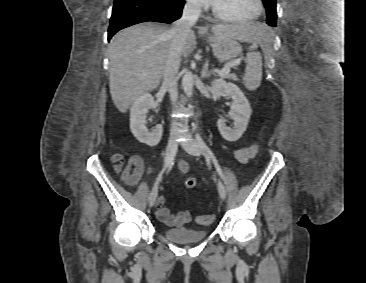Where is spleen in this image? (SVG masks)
Listing matches in <instances>:
<instances>
[{
  "label": "spleen",
  "mask_w": 366,
  "mask_h": 283,
  "mask_svg": "<svg viewBox=\"0 0 366 283\" xmlns=\"http://www.w3.org/2000/svg\"><path fill=\"white\" fill-rule=\"evenodd\" d=\"M257 47V42L253 41L246 57L247 64L243 82L248 90H256L262 80V57L259 52L255 51Z\"/></svg>",
  "instance_id": "spleen-1"
}]
</instances>
